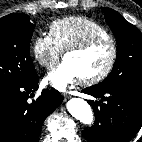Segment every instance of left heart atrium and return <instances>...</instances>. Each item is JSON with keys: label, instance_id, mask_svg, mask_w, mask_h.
Instances as JSON below:
<instances>
[{"label": "left heart atrium", "instance_id": "1", "mask_svg": "<svg viewBox=\"0 0 142 142\" xmlns=\"http://www.w3.org/2000/svg\"><path fill=\"white\" fill-rule=\"evenodd\" d=\"M80 79V76L74 66L67 60H64L56 66L48 75L47 81L58 90H65L69 85Z\"/></svg>", "mask_w": 142, "mask_h": 142}]
</instances>
